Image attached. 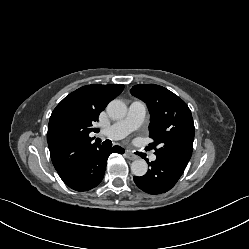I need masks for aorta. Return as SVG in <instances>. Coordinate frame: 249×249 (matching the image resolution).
<instances>
[{
	"label": "aorta",
	"mask_w": 249,
	"mask_h": 249,
	"mask_svg": "<svg viewBox=\"0 0 249 249\" xmlns=\"http://www.w3.org/2000/svg\"><path fill=\"white\" fill-rule=\"evenodd\" d=\"M107 113L113 119H122L126 116L127 106L121 100H112L107 105ZM147 170L148 165L143 159L135 160L131 164V172L137 177L144 176Z\"/></svg>",
	"instance_id": "762f6f07"
}]
</instances>
